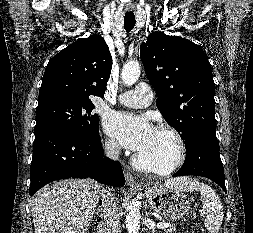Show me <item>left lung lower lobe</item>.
<instances>
[{
    "label": "left lung lower lobe",
    "instance_id": "1",
    "mask_svg": "<svg viewBox=\"0 0 253 233\" xmlns=\"http://www.w3.org/2000/svg\"><path fill=\"white\" fill-rule=\"evenodd\" d=\"M183 166L173 177L197 175L215 181L225 192V176L216 135L200 133L186 146Z\"/></svg>",
    "mask_w": 253,
    "mask_h": 233
}]
</instances>
